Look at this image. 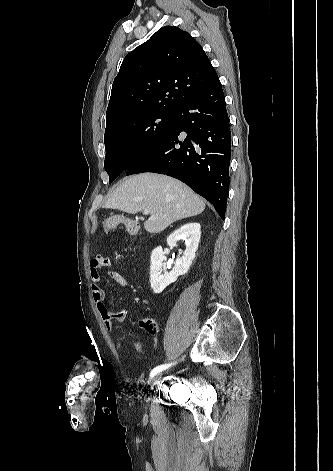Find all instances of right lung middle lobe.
I'll list each match as a JSON object with an SVG mask.
<instances>
[{
  "label": "right lung middle lobe",
  "instance_id": "1",
  "mask_svg": "<svg viewBox=\"0 0 333 471\" xmlns=\"http://www.w3.org/2000/svg\"><path fill=\"white\" fill-rule=\"evenodd\" d=\"M175 112L149 110L121 118L106 128L104 167L113 182L174 123Z\"/></svg>",
  "mask_w": 333,
  "mask_h": 471
}]
</instances>
